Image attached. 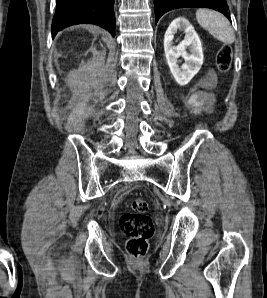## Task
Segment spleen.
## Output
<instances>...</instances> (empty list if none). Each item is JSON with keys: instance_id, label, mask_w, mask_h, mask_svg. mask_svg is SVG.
Returning <instances> with one entry per match:
<instances>
[{"instance_id": "spleen-1", "label": "spleen", "mask_w": 267, "mask_h": 298, "mask_svg": "<svg viewBox=\"0 0 267 298\" xmlns=\"http://www.w3.org/2000/svg\"><path fill=\"white\" fill-rule=\"evenodd\" d=\"M196 19L199 25L225 44L235 40L234 31L228 19L221 13L209 9H198Z\"/></svg>"}]
</instances>
